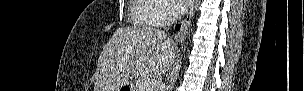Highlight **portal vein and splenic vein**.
<instances>
[{
	"instance_id": "portal-vein-and-splenic-vein-1",
	"label": "portal vein and splenic vein",
	"mask_w": 304,
	"mask_h": 91,
	"mask_svg": "<svg viewBox=\"0 0 304 91\" xmlns=\"http://www.w3.org/2000/svg\"><path fill=\"white\" fill-rule=\"evenodd\" d=\"M156 84H157V80L148 79V80L145 81L143 89L145 91H152L155 88Z\"/></svg>"
}]
</instances>
